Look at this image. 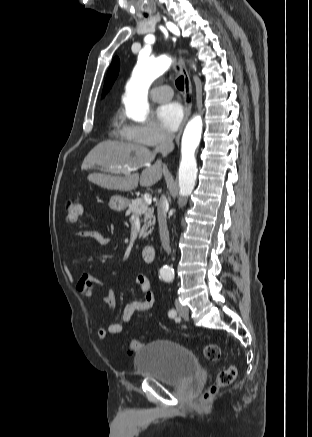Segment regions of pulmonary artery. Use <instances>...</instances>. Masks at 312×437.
<instances>
[{"mask_svg":"<svg viewBox=\"0 0 312 437\" xmlns=\"http://www.w3.org/2000/svg\"><path fill=\"white\" fill-rule=\"evenodd\" d=\"M151 98L156 102H165L169 101L172 96L173 92L170 87L166 85L154 87L150 92Z\"/></svg>","mask_w":312,"mask_h":437,"instance_id":"1","label":"pulmonary artery"}]
</instances>
